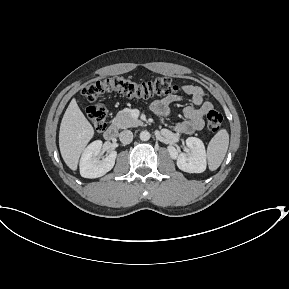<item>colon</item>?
Returning <instances> with one entry per match:
<instances>
[{
	"mask_svg": "<svg viewBox=\"0 0 289 289\" xmlns=\"http://www.w3.org/2000/svg\"><path fill=\"white\" fill-rule=\"evenodd\" d=\"M179 87L169 77H158L151 81H135L124 76H114L103 80L87 83L82 88V94L94 101L106 93H119L128 98L147 100L155 96H167L176 93ZM87 116L98 133L107 126V110L101 104L90 106L86 110ZM223 122L222 115L214 110L207 113V127L210 131H217Z\"/></svg>",
	"mask_w": 289,
	"mask_h": 289,
	"instance_id": "obj_1",
	"label": "colon"
}]
</instances>
